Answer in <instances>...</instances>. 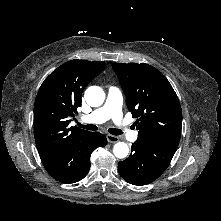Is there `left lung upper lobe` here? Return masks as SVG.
I'll list each match as a JSON object with an SVG mask.
<instances>
[{"label":"left lung upper lobe","mask_w":221,"mask_h":221,"mask_svg":"<svg viewBox=\"0 0 221 221\" xmlns=\"http://www.w3.org/2000/svg\"><path fill=\"white\" fill-rule=\"evenodd\" d=\"M126 95L138 138L176 151L182 128L179 99L166 77L151 65L113 63Z\"/></svg>","instance_id":"1"}]
</instances>
